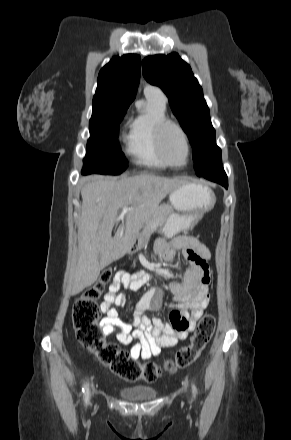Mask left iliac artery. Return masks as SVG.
<instances>
[{
	"mask_svg": "<svg viewBox=\"0 0 291 440\" xmlns=\"http://www.w3.org/2000/svg\"><path fill=\"white\" fill-rule=\"evenodd\" d=\"M192 392H193V395H196V393H197V388L194 383H192Z\"/></svg>",
	"mask_w": 291,
	"mask_h": 440,
	"instance_id": "1",
	"label": "left iliac artery"
}]
</instances>
